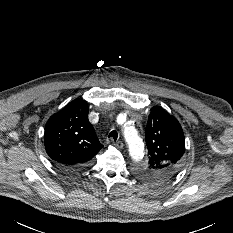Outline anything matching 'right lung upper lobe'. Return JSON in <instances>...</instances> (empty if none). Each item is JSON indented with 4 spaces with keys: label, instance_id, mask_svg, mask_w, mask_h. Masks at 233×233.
<instances>
[{
    "label": "right lung upper lobe",
    "instance_id": "1",
    "mask_svg": "<svg viewBox=\"0 0 233 233\" xmlns=\"http://www.w3.org/2000/svg\"><path fill=\"white\" fill-rule=\"evenodd\" d=\"M88 103L76 99L47 121L44 134L49 157L65 170L86 167L102 149L88 120Z\"/></svg>",
    "mask_w": 233,
    "mask_h": 233
}]
</instances>
